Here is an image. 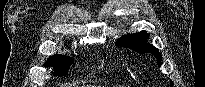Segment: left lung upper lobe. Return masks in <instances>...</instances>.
<instances>
[{"label":"left lung upper lobe","instance_id":"obj_1","mask_svg":"<svg viewBox=\"0 0 205 87\" xmlns=\"http://www.w3.org/2000/svg\"><path fill=\"white\" fill-rule=\"evenodd\" d=\"M148 37L149 35L146 31H141L134 34H127L118 39L117 44L135 50L138 53H151L156 57L158 65L160 66L162 56L157 48L147 43ZM171 85L173 86L172 82Z\"/></svg>","mask_w":205,"mask_h":87}]
</instances>
